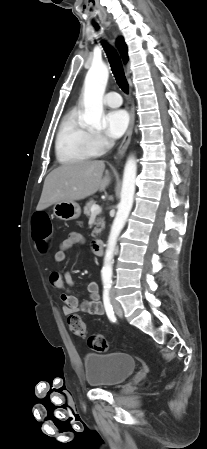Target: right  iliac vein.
Listing matches in <instances>:
<instances>
[{"mask_svg":"<svg viewBox=\"0 0 207 449\" xmlns=\"http://www.w3.org/2000/svg\"><path fill=\"white\" fill-rule=\"evenodd\" d=\"M115 308H116V311L118 312V314L122 313V310L119 305H115Z\"/></svg>","mask_w":207,"mask_h":449,"instance_id":"right-iliac-vein-1","label":"right iliac vein"}]
</instances>
